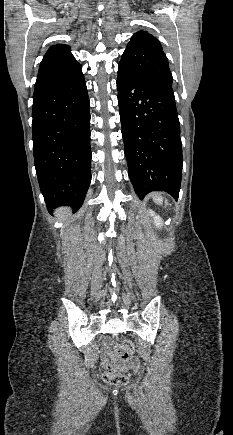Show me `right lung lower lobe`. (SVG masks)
Segmentation results:
<instances>
[{"label":"right lung lower lobe","instance_id":"obj_1","mask_svg":"<svg viewBox=\"0 0 233 435\" xmlns=\"http://www.w3.org/2000/svg\"><path fill=\"white\" fill-rule=\"evenodd\" d=\"M34 163L50 211L82 205L91 182L89 97L81 73L33 97Z\"/></svg>","mask_w":233,"mask_h":435}]
</instances>
